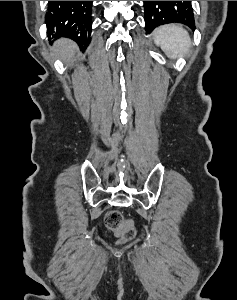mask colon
I'll use <instances>...</instances> for the list:
<instances>
[{"label":"colon","mask_w":237,"mask_h":300,"mask_svg":"<svg viewBox=\"0 0 237 300\" xmlns=\"http://www.w3.org/2000/svg\"><path fill=\"white\" fill-rule=\"evenodd\" d=\"M106 226L113 231L121 241H130L135 237L132 220L124 218L120 212L110 211L105 218Z\"/></svg>","instance_id":"obj_1"}]
</instances>
